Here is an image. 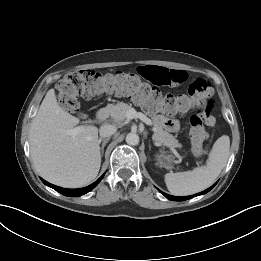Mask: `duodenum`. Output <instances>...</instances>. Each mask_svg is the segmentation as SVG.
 <instances>
[{
  "instance_id": "duodenum-1",
  "label": "duodenum",
  "mask_w": 261,
  "mask_h": 261,
  "mask_svg": "<svg viewBox=\"0 0 261 261\" xmlns=\"http://www.w3.org/2000/svg\"><path fill=\"white\" fill-rule=\"evenodd\" d=\"M108 110L106 108H102L97 112V119L100 121H104L108 117Z\"/></svg>"
}]
</instances>
